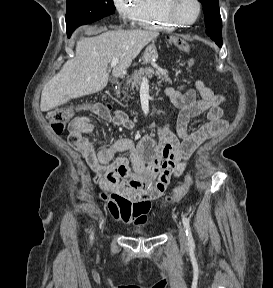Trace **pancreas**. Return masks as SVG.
I'll use <instances>...</instances> for the list:
<instances>
[{
  "mask_svg": "<svg viewBox=\"0 0 273 288\" xmlns=\"http://www.w3.org/2000/svg\"><path fill=\"white\" fill-rule=\"evenodd\" d=\"M155 75L157 79L159 80V83L161 82H171V79L168 76V71L165 69H158L154 70L151 67L141 68L139 71H136L126 82V92L125 95H128V91H134L136 88L139 89L143 78L148 77L149 79Z\"/></svg>",
  "mask_w": 273,
  "mask_h": 288,
  "instance_id": "1",
  "label": "pancreas"
}]
</instances>
